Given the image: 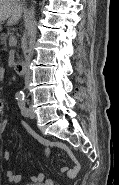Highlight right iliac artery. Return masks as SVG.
Returning a JSON list of instances; mask_svg holds the SVG:
<instances>
[{
	"label": "right iliac artery",
	"mask_w": 119,
	"mask_h": 185,
	"mask_svg": "<svg viewBox=\"0 0 119 185\" xmlns=\"http://www.w3.org/2000/svg\"><path fill=\"white\" fill-rule=\"evenodd\" d=\"M22 98H24V94L22 92L16 94L17 100L22 99Z\"/></svg>",
	"instance_id": "right-iliac-artery-1"
}]
</instances>
